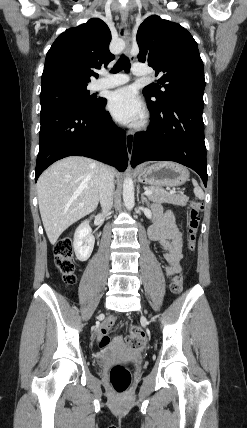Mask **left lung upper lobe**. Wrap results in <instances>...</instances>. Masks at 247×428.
<instances>
[{
	"label": "left lung upper lobe",
	"instance_id": "left-lung-upper-lobe-1",
	"mask_svg": "<svg viewBox=\"0 0 247 428\" xmlns=\"http://www.w3.org/2000/svg\"><path fill=\"white\" fill-rule=\"evenodd\" d=\"M137 42L138 60L162 75L158 83L143 89L151 107L161 110L179 99L204 105V66L198 45L185 28L152 15L140 25Z\"/></svg>",
	"mask_w": 247,
	"mask_h": 428
}]
</instances>
